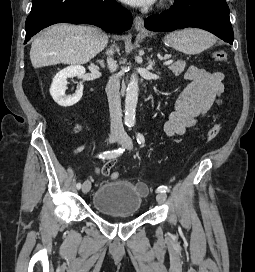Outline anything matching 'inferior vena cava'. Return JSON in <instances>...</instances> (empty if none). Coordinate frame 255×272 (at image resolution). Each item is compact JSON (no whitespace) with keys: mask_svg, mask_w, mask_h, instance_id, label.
Returning a JSON list of instances; mask_svg holds the SVG:
<instances>
[{"mask_svg":"<svg viewBox=\"0 0 255 272\" xmlns=\"http://www.w3.org/2000/svg\"><path fill=\"white\" fill-rule=\"evenodd\" d=\"M113 49L109 50V54L113 55ZM108 67L111 72H114L117 68L116 62L113 58H108ZM120 80L118 77H111L106 85V93L109 102L110 123L112 134H124V127L122 124V111H121V99H120Z\"/></svg>","mask_w":255,"mask_h":272,"instance_id":"1","label":"inferior vena cava"}]
</instances>
